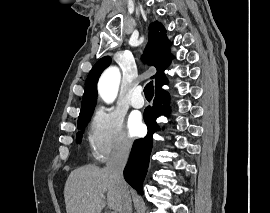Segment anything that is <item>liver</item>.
I'll list each match as a JSON object with an SVG mask.
<instances>
[{
    "label": "liver",
    "mask_w": 270,
    "mask_h": 213,
    "mask_svg": "<svg viewBox=\"0 0 270 213\" xmlns=\"http://www.w3.org/2000/svg\"><path fill=\"white\" fill-rule=\"evenodd\" d=\"M107 193L108 207L119 213L121 193L119 186L106 168L85 165L69 174L64 198L67 213H101Z\"/></svg>",
    "instance_id": "6515ba94"
}]
</instances>
